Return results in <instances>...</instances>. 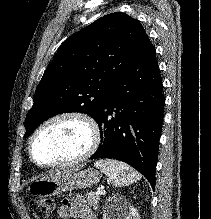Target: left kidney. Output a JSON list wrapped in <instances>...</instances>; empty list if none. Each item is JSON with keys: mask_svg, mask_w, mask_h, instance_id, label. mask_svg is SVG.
<instances>
[{"mask_svg": "<svg viewBox=\"0 0 211 219\" xmlns=\"http://www.w3.org/2000/svg\"><path fill=\"white\" fill-rule=\"evenodd\" d=\"M114 201H117L121 208L116 209L112 206L110 211H104L103 219H140L137 210L130 204H127L122 197H114Z\"/></svg>", "mask_w": 211, "mask_h": 219, "instance_id": "1", "label": "left kidney"}]
</instances>
